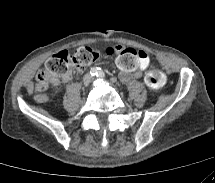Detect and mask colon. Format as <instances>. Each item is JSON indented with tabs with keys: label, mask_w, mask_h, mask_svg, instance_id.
Listing matches in <instances>:
<instances>
[{
	"label": "colon",
	"mask_w": 215,
	"mask_h": 183,
	"mask_svg": "<svg viewBox=\"0 0 215 183\" xmlns=\"http://www.w3.org/2000/svg\"><path fill=\"white\" fill-rule=\"evenodd\" d=\"M114 51V49L110 48L106 51V55H111ZM101 57L100 52L89 47H81L74 53L60 51L46 62L44 77L47 79H59L71 69L83 70ZM145 82L152 89H160L165 84L166 77L159 69H152L146 73Z\"/></svg>",
	"instance_id": "colon-1"
}]
</instances>
